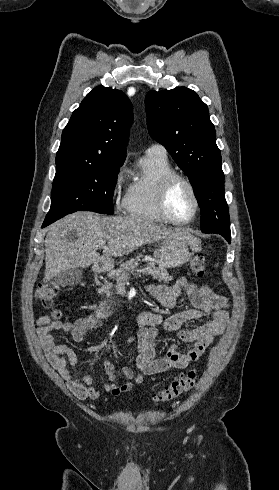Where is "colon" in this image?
<instances>
[{
  "label": "colon",
  "instance_id": "1",
  "mask_svg": "<svg viewBox=\"0 0 279 490\" xmlns=\"http://www.w3.org/2000/svg\"><path fill=\"white\" fill-rule=\"evenodd\" d=\"M190 266L192 272L198 276L202 277L207 272V257L204 253L198 252L192 256L190 260ZM60 284L56 282H49L44 285L39 293L38 297L43 303L44 306L50 307L53 303V300L57 293L60 290ZM63 312L60 309H53L51 311V316L53 318L62 317ZM197 382V371L195 368L190 369L186 375L181 376L171 382V384L157 393L155 395V400L157 402H168L177 399L183 394L189 392L192 388L195 387Z\"/></svg>",
  "mask_w": 279,
  "mask_h": 490
}]
</instances>
